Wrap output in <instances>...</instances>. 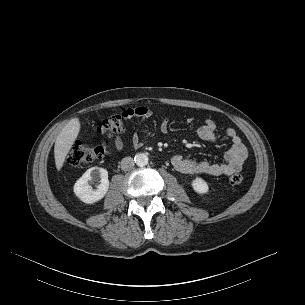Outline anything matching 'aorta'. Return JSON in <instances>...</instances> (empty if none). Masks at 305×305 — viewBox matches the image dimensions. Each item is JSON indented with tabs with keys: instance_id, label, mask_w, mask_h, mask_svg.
<instances>
[{
	"instance_id": "1",
	"label": "aorta",
	"mask_w": 305,
	"mask_h": 305,
	"mask_svg": "<svg viewBox=\"0 0 305 305\" xmlns=\"http://www.w3.org/2000/svg\"><path fill=\"white\" fill-rule=\"evenodd\" d=\"M148 156L145 153H137L134 161L138 166H145L148 164Z\"/></svg>"
}]
</instances>
